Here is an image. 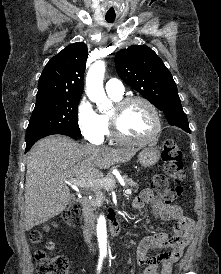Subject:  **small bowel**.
<instances>
[{"label":"small bowel","mask_w":221,"mask_h":274,"mask_svg":"<svg viewBox=\"0 0 221 274\" xmlns=\"http://www.w3.org/2000/svg\"><path fill=\"white\" fill-rule=\"evenodd\" d=\"M145 204H150L153 214L161 220H174V233L157 232L145 237L136 250L137 263L143 267L141 274H172L174 264L180 259L184 249L193 237V221L186 217L178 205L163 202L149 189H144L134 199L132 208L140 211ZM150 250H165L156 255H149Z\"/></svg>","instance_id":"1"}]
</instances>
